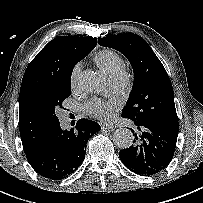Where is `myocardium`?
<instances>
[{
    "mask_svg": "<svg viewBox=\"0 0 203 203\" xmlns=\"http://www.w3.org/2000/svg\"><path fill=\"white\" fill-rule=\"evenodd\" d=\"M109 79L116 84L120 90L127 88L130 82V77L125 69H119L108 75Z\"/></svg>",
    "mask_w": 203,
    "mask_h": 203,
    "instance_id": "myocardium-1",
    "label": "myocardium"
}]
</instances>
